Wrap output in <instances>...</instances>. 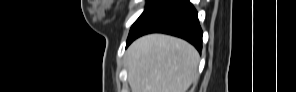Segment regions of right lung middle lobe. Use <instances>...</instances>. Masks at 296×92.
Listing matches in <instances>:
<instances>
[{
	"label": "right lung middle lobe",
	"mask_w": 296,
	"mask_h": 92,
	"mask_svg": "<svg viewBox=\"0 0 296 92\" xmlns=\"http://www.w3.org/2000/svg\"><path fill=\"white\" fill-rule=\"evenodd\" d=\"M156 0H148L145 10H147Z\"/></svg>",
	"instance_id": "right-lung-middle-lobe-1"
}]
</instances>
